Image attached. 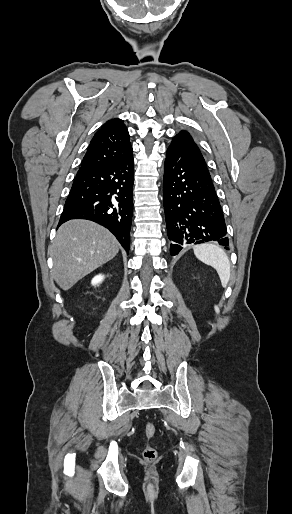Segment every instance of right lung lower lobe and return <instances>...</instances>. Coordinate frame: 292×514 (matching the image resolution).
<instances>
[{
	"label": "right lung lower lobe",
	"mask_w": 292,
	"mask_h": 514,
	"mask_svg": "<svg viewBox=\"0 0 292 514\" xmlns=\"http://www.w3.org/2000/svg\"><path fill=\"white\" fill-rule=\"evenodd\" d=\"M132 153L112 164L80 167L66 199L59 225L87 219L109 229L128 252L133 215Z\"/></svg>",
	"instance_id": "obj_1"
}]
</instances>
